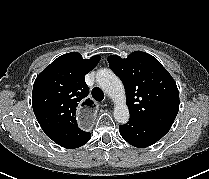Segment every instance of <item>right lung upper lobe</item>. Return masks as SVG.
Here are the masks:
<instances>
[{
    "mask_svg": "<svg viewBox=\"0 0 209 179\" xmlns=\"http://www.w3.org/2000/svg\"><path fill=\"white\" fill-rule=\"evenodd\" d=\"M99 55L83 59L77 52L64 54L48 65L33 85L34 114L45 134L58 145L82 130L76 121L78 107L90 109L89 88L84 76L99 62Z\"/></svg>",
    "mask_w": 209,
    "mask_h": 179,
    "instance_id": "right-lung-upper-lobe-1",
    "label": "right lung upper lobe"
}]
</instances>
